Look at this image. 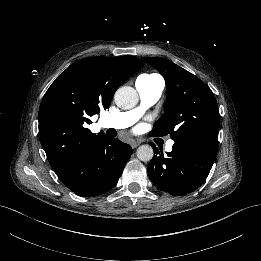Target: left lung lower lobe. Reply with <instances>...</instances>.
<instances>
[{
	"label": "left lung lower lobe",
	"instance_id": "left-lung-lower-lobe-1",
	"mask_svg": "<svg viewBox=\"0 0 261 261\" xmlns=\"http://www.w3.org/2000/svg\"><path fill=\"white\" fill-rule=\"evenodd\" d=\"M155 147V153L160 154ZM218 142L193 136L175 141L172 151L154 156L147 172L161 191L182 196L199 188L206 180L217 153Z\"/></svg>",
	"mask_w": 261,
	"mask_h": 261
}]
</instances>
